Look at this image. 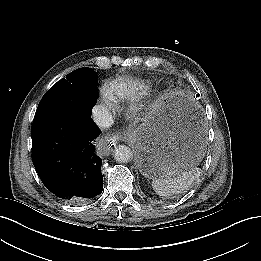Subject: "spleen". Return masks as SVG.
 <instances>
[{
	"instance_id": "spleen-1",
	"label": "spleen",
	"mask_w": 261,
	"mask_h": 261,
	"mask_svg": "<svg viewBox=\"0 0 261 261\" xmlns=\"http://www.w3.org/2000/svg\"><path fill=\"white\" fill-rule=\"evenodd\" d=\"M169 171L173 173V176L168 175ZM168 172L164 177L152 181V187L159 196L169 197L189 190L201 173L197 167L179 173L171 170H168Z\"/></svg>"
}]
</instances>
